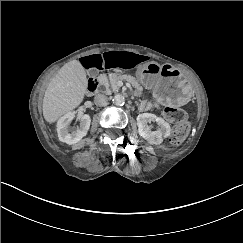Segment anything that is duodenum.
<instances>
[{
  "label": "duodenum",
  "mask_w": 243,
  "mask_h": 243,
  "mask_svg": "<svg viewBox=\"0 0 243 243\" xmlns=\"http://www.w3.org/2000/svg\"><path fill=\"white\" fill-rule=\"evenodd\" d=\"M98 86V81L95 78H90L87 85L88 94H92L96 91Z\"/></svg>",
  "instance_id": "duodenum-1"
}]
</instances>
